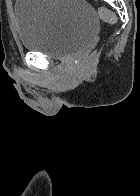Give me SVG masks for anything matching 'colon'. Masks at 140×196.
<instances>
[{
  "label": "colon",
  "instance_id": "colon-1",
  "mask_svg": "<svg viewBox=\"0 0 140 196\" xmlns=\"http://www.w3.org/2000/svg\"><path fill=\"white\" fill-rule=\"evenodd\" d=\"M98 12H99V15L104 23H106L107 25L115 24L117 18H116V15L111 10L101 7V8H99ZM94 55H95L94 52L89 54V56L87 57V60H86L87 64H89L93 60Z\"/></svg>",
  "mask_w": 140,
  "mask_h": 196
}]
</instances>
